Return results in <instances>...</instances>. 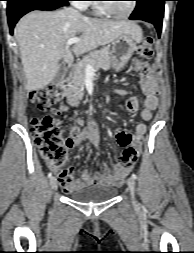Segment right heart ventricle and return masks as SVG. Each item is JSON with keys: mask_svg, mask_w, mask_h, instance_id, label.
<instances>
[{"mask_svg": "<svg viewBox=\"0 0 194 253\" xmlns=\"http://www.w3.org/2000/svg\"><path fill=\"white\" fill-rule=\"evenodd\" d=\"M94 12L97 15H104L105 14L97 5L94 6Z\"/></svg>", "mask_w": 194, "mask_h": 253, "instance_id": "right-heart-ventricle-1", "label": "right heart ventricle"}]
</instances>
